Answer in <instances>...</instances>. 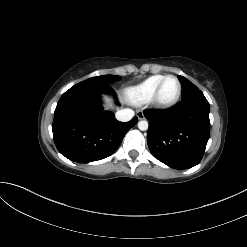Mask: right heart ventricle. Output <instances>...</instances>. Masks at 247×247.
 Masks as SVG:
<instances>
[{"mask_svg":"<svg viewBox=\"0 0 247 247\" xmlns=\"http://www.w3.org/2000/svg\"><path fill=\"white\" fill-rule=\"evenodd\" d=\"M165 75H153L142 81L141 83L127 89L126 95L128 99L136 105L149 102L153 94Z\"/></svg>","mask_w":247,"mask_h":247,"instance_id":"1","label":"right heart ventricle"}]
</instances>
